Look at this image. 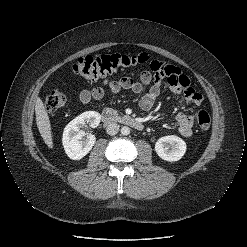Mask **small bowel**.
I'll list each match as a JSON object with an SVG mask.
<instances>
[{
  "mask_svg": "<svg viewBox=\"0 0 247 247\" xmlns=\"http://www.w3.org/2000/svg\"><path fill=\"white\" fill-rule=\"evenodd\" d=\"M150 71H143L139 75L138 81H134L130 75H122L118 80L105 78L92 90H84L80 93V101L87 105L92 99L100 100L104 96V89L108 88L112 93L121 90H131L140 93L145 86H150L148 92L140 99L139 107L150 110L161 93V83L164 78H168L171 91L177 95H183L188 104L199 106L203 102V96L196 91L190 83L189 78L184 75L179 68L161 61H153ZM179 133L184 137H190L193 133L194 117L184 112L176 115Z\"/></svg>",
  "mask_w": 247,
  "mask_h": 247,
  "instance_id": "small-bowel-1",
  "label": "small bowel"
}]
</instances>
